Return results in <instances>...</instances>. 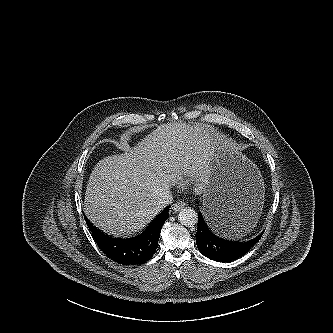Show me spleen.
Wrapping results in <instances>:
<instances>
[{
  "instance_id": "1",
  "label": "spleen",
  "mask_w": 333,
  "mask_h": 333,
  "mask_svg": "<svg viewBox=\"0 0 333 333\" xmlns=\"http://www.w3.org/2000/svg\"><path fill=\"white\" fill-rule=\"evenodd\" d=\"M260 217V216H259ZM259 217L257 216L256 211H249L243 217L234 220L228 228L223 231L222 236L230 239H238L243 236L244 233H247L253 228Z\"/></svg>"
}]
</instances>
